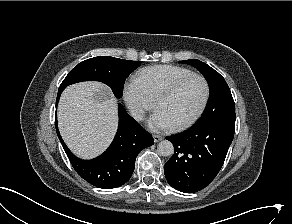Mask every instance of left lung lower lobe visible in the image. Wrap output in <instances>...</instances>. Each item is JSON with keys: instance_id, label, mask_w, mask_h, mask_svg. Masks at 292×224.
Segmentation results:
<instances>
[{"instance_id": "left-lung-lower-lobe-1", "label": "left lung lower lobe", "mask_w": 292, "mask_h": 224, "mask_svg": "<svg viewBox=\"0 0 292 224\" xmlns=\"http://www.w3.org/2000/svg\"><path fill=\"white\" fill-rule=\"evenodd\" d=\"M234 128L235 113H232L167 136L175 147V153L164 165L168 183L184 193L205 188L224 163Z\"/></svg>"}]
</instances>
